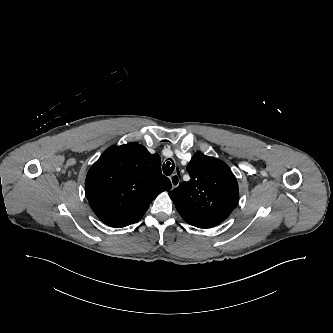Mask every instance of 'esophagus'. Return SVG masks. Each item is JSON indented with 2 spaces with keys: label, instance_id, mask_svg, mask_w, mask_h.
<instances>
[{
  "label": "esophagus",
  "instance_id": "34e87169",
  "mask_svg": "<svg viewBox=\"0 0 333 333\" xmlns=\"http://www.w3.org/2000/svg\"><path fill=\"white\" fill-rule=\"evenodd\" d=\"M170 181H171V184H172V188H176L179 185V183H180L179 174L178 173L173 174L170 177Z\"/></svg>",
  "mask_w": 333,
  "mask_h": 333
}]
</instances>
